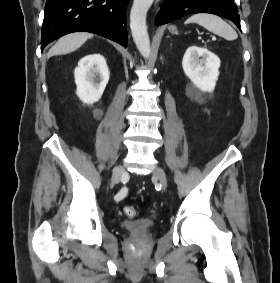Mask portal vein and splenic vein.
<instances>
[{
    "mask_svg": "<svg viewBox=\"0 0 280 283\" xmlns=\"http://www.w3.org/2000/svg\"><path fill=\"white\" fill-rule=\"evenodd\" d=\"M212 40H216V37H215V36H213V37H212Z\"/></svg>",
    "mask_w": 280,
    "mask_h": 283,
    "instance_id": "18ae733b",
    "label": "portal vein and splenic vein"
}]
</instances>
